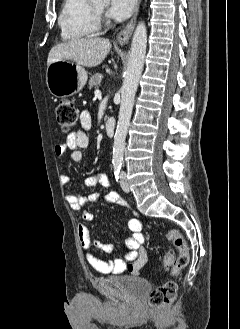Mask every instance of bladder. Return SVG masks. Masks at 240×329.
<instances>
[{"label": "bladder", "instance_id": "31cf9c89", "mask_svg": "<svg viewBox=\"0 0 240 329\" xmlns=\"http://www.w3.org/2000/svg\"><path fill=\"white\" fill-rule=\"evenodd\" d=\"M109 280L132 297L141 298L150 290L149 281L141 276L115 275Z\"/></svg>", "mask_w": 240, "mask_h": 329}]
</instances>
